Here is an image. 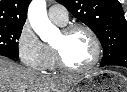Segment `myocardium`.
Wrapping results in <instances>:
<instances>
[{
    "mask_svg": "<svg viewBox=\"0 0 127 92\" xmlns=\"http://www.w3.org/2000/svg\"><path fill=\"white\" fill-rule=\"evenodd\" d=\"M75 30H84L85 32L88 33V35L90 36V38L93 42V47H94L93 58L86 66H84L82 68H73L66 63L59 47H57L56 45L53 44L52 50L54 53L56 66L61 71L66 72V73L80 74V73H85V72L91 70L98 64V62L101 58V54H102V47H101V42H100L99 37L96 34V32L90 26H88L86 24H83V23L68 24L62 28L61 33L63 35H68Z\"/></svg>",
    "mask_w": 127,
    "mask_h": 92,
    "instance_id": "myocardium-1",
    "label": "myocardium"
}]
</instances>
